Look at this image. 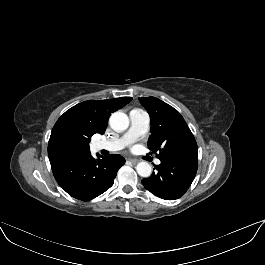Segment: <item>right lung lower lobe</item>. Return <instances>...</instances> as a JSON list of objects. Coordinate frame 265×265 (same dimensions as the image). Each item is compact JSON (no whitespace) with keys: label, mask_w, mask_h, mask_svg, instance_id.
<instances>
[{"label":"right lung lower lobe","mask_w":265,"mask_h":265,"mask_svg":"<svg viewBox=\"0 0 265 265\" xmlns=\"http://www.w3.org/2000/svg\"><path fill=\"white\" fill-rule=\"evenodd\" d=\"M91 154L52 168L58 184L72 197L87 201L108 190L125 159L117 154L106 157ZM101 157V158H100Z\"/></svg>","instance_id":"right-lung-lower-lobe-1"}]
</instances>
